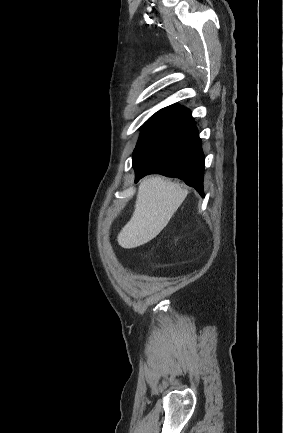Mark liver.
Returning a JSON list of instances; mask_svg holds the SVG:
<instances>
[{
    "mask_svg": "<svg viewBox=\"0 0 283 433\" xmlns=\"http://www.w3.org/2000/svg\"><path fill=\"white\" fill-rule=\"evenodd\" d=\"M187 194V188L162 176L144 178L138 188L132 217L117 237L120 247L135 249L149 243L168 225Z\"/></svg>",
    "mask_w": 283,
    "mask_h": 433,
    "instance_id": "obj_1",
    "label": "liver"
}]
</instances>
